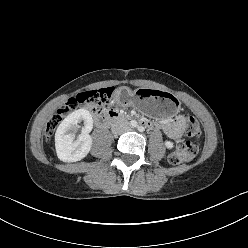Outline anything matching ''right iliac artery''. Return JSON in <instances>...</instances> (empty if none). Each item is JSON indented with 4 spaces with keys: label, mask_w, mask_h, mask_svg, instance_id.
Here are the masks:
<instances>
[{
    "label": "right iliac artery",
    "mask_w": 248,
    "mask_h": 248,
    "mask_svg": "<svg viewBox=\"0 0 248 248\" xmlns=\"http://www.w3.org/2000/svg\"><path fill=\"white\" fill-rule=\"evenodd\" d=\"M130 124H131L133 127H136V126L138 125L137 122L134 121V120H132V121L130 122Z\"/></svg>",
    "instance_id": "right-iliac-artery-1"
}]
</instances>
